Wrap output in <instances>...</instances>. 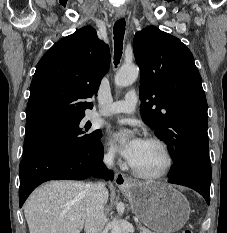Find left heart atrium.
Listing matches in <instances>:
<instances>
[{
  "mask_svg": "<svg viewBox=\"0 0 227 233\" xmlns=\"http://www.w3.org/2000/svg\"><path fill=\"white\" fill-rule=\"evenodd\" d=\"M113 140L117 144L121 154L131 163L136 157L138 151L145 142L138 136L130 134L123 130H117L112 134Z\"/></svg>",
  "mask_w": 227,
  "mask_h": 233,
  "instance_id": "obj_1",
  "label": "left heart atrium"
}]
</instances>
